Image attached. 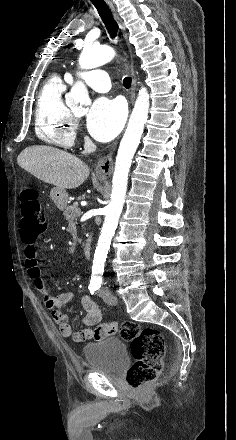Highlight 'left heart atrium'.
<instances>
[{
  "label": "left heart atrium",
  "instance_id": "obj_1",
  "mask_svg": "<svg viewBox=\"0 0 236 440\" xmlns=\"http://www.w3.org/2000/svg\"><path fill=\"white\" fill-rule=\"evenodd\" d=\"M125 118L126 110L121 100L99 97L91 105L87 128L94 139L108 142L120 132Z\"/></svg>",
  "mask_w": 236,
  "mask_h": 440
}]
</instances>
